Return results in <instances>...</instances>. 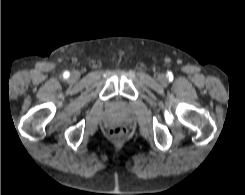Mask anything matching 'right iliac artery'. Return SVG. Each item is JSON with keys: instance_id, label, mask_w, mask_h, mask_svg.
Returning a JSON list of instances; mask_svg holds the SVG:
<instances>
[{"instance_id": "obj_1", "label": "right iliac artery", "mask_w": 245, "mask_h": 195, "mask_svg": "<svg viewBox=\"0 0 245 195\" xmlns=\"http://www.w3.org/2000/svg\"><path fill=\"white\" fill-rule=\"evenodd\" d=\"M69 75H70L69 72H65V73H64V77H65V78H68Z\"/></svg>"}]
</instances>
